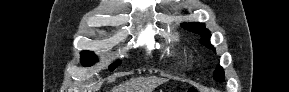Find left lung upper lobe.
I'll list each match as a JSON object with an SVG mask.
<instances>
[{"mask_svg":"<svg viewBox=\"0 0 289 92\" xmlns=\"http://www.w3.org/2000/svg\"><path fill=\"white\" fill-rule=\"evenodd\" d=\"M181 26L188 31H191L193 33H198L201 36V43L204 44L206 47L215 50L214 47L209 43L211 34L205 28L204 24L192 22V23H183L181 24ZM213 78L216 81H221V82L224 81V71L221 66L216 67V70L213 74Z\"/></svg>","mask_w":289,"mask_h":92,"instance_id":"obj_1","label":"left lung upper lobe"}]
</instances>
